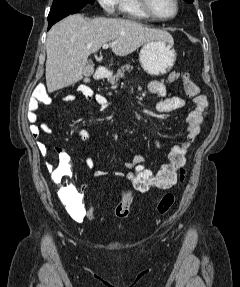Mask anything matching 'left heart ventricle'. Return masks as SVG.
<instances>
[{
  "mask_svg": "<svg viewBox=\"0 0 240 287\" xmlns=\"http://www.w3.org/2000/svg\"><path fill=\"white\" fill-rule=\"evenodd\" d=\"M153 10L160 16L167 17L175 12L174 0H150Z\"/></svg>",
  "mask_w": 240,
  "mask_h": 287,
  "instance_id": "b2bd125f",
  "label": "left heart ventricle"
}]
</instances>
